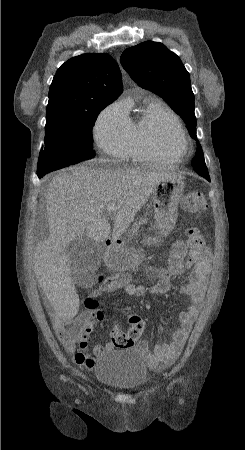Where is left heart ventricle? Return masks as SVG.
<instances>
[{
    "label": "left heart ventricle",
    "instance_id": "1",
    "mask_svg": "<svg viewBox=\"0 0 245 450\" xmlns=\"http://www.w3.org/2000/svg\"><path fill=\"white\" fill-rule=\"evenodd\" d=\"M157 131L162 133L164 140L173 148L175 152H183V142L179 138L174 125L170 121L165 119L160 121L157 126Z\"/></svg>",
    "mask_w": 245,
    "mask_h": 450
}]
</instances>
